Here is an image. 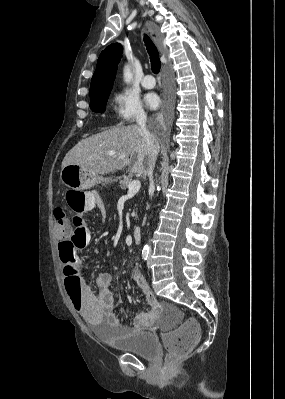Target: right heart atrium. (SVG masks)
I'll return each instance as SVG.
<instances>
[{
  "instance_id": "right-heart-atrium-1",
  "label": "right heart atrium",
  "mask_w": 285,
  "mask_h": 399,
  "mask_svg": "<svg viewBox=\"0 0 285 399\" xmlns=\"http://www.w3.org/2000/svg\"><path fill=\"white\" fill-rule=\"evenodd\" d=\"M114 108L120 124L144 120L146 112L137 96L129 90H121L114 95Z\"/></svg>"
}]
</instances>
